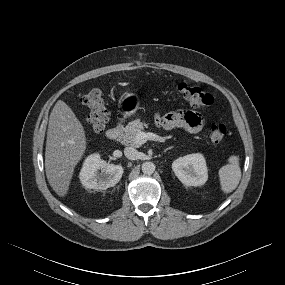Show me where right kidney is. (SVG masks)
Here are the masks:
<instances>
[{"label":"right kidney","mask_w":285,"mask_h":285,"mask_svg":"<svg viewBox=\"0 0 285 285\" xmlns=\"http://www.w3.org/2000/svg\"><path fill=\"white\" fill-rule=\"evenodd\" d=\"M99 170L101 171L99 172ZM122 174L121 165L109 164L95 153L85 159L79 178L87 189L106 190L115 186L120 181Z\"/></svg>","instance_id":"obj_1"}]
</instances>
